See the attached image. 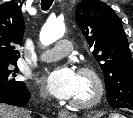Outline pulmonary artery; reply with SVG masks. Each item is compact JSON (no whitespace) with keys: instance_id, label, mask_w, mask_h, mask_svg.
Listing matches in <instances>:
<instances>
[{"instance_id":"1","label":"pulmonary artery","mask_w":133,"mask_h":118,"mask_svg":"<svg viewBox=\"0 0 133 118\" xmlns=\"http://www.w3.org/2000/svg\"><path fill=\"white\" fill-rule=\"evenodd\" d=\"M72 49V43L67 39L59 40L56 45L40 55L42 61L51 62L64 58Z\"/></svg>"}]
</instances>
